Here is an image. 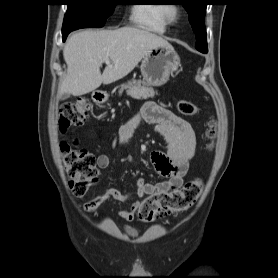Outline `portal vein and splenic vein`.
Here are the masks:
<instances>
[{
  "instance_id": "portal-vein-and-splenic-vein-1",
  "label": "portal vein and splenic vein",
  "mask_w": 278,
  "mask_h": 278,
  "mask_svg": "<svg viewBox=\"0 0 278 278\" xmlns=\"http://www.w3.org/2000/svg\"><path fill=\"white\" fill-rule=\"evenodd\" d=\"M105 62H106V63H109V60H108V59H105Z\"/></svg>"
}]
</instances>
